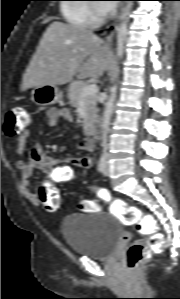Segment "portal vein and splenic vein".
<instances>
[{
    "mask_svg": "<svg viewBox=\"0 0 180 299\" xmlns=\"http://www.w3.org/2000/svg\"><path fill=\"white\" fill-rule=\"evenodd\" d=\"M98 91L97 85L96 84H90L87 85L83 88L82 92H81V96L82 97H86L88 95H94L96 94Z\"/></svg>",
    "mask_w": 180,
    "mask_h": 299,
    "instance_id": "obj_1",
    "label": "portal vein and splenic vein"
}]
</instances>
